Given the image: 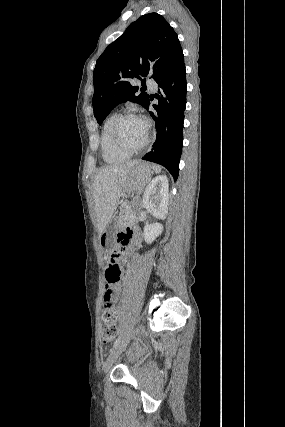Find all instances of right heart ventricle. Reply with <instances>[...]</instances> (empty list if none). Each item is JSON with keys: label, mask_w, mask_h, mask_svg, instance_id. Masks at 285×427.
I'll use <instances>...</instances> for the list:
<instances>
[{"label": "right heart ventricle", "mask_w": 285, "mask_h": 427, "mask_svg": "<svg viewBox=\"0 0 285 427\" xmlns=\"http://www.w3.org/2000/svg\"><path fill=\"white\" fill-rule=\"evenodd\" d=\"M117 117L116 113H111L105 119L101 134H100V148L102 157L107 163H120L130 158L131 154L124 153L117 149L111 139V127Z\"/></svg>", "instance_id": "1"}]
</instances>
